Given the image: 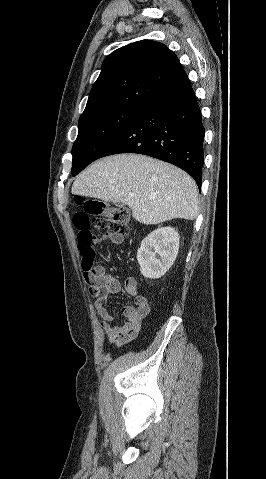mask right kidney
Instances as JSON below:
<instances>
[{
	"label": "right kidney",
	"mask_w": 266,
	"mask_h": 479,
	"mask_svg": "<svg viewBox=\"0 0 266 479\" xmlns=\"http://www.w3.org/2000/svg\"><path fill=\"white\" fill-rule=\"evenodd\" d=\"M179 238L178 232L168 226L154 230L141 242L137 260L145 278H160L169 270L178 254Z\"/></svg>",
	"instance_id": "obj_1"
}]
</instances>
